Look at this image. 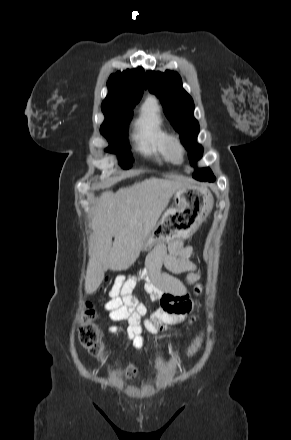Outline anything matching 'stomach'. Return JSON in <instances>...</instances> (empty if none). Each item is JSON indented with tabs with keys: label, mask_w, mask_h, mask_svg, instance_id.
Here are the masks:
<instances>
[{
	"label": "stomach",
	"mask_w": 291,
	"mask_h": 440,
	"mask_svg": "<svg viewBox=\"0 0 291 440\" xmlns=\"http://www.w3.org/2000/svg\"><path fill=\"white\" fill-rule=\"evenodd\" d=\"M174 203L176 207L164 213L143 249H150L160 241L191 236L212 210L214 199L206 187L183 185L174 192Z\"/></svg>",
	"instance_id": "1"
}]
</instances>
